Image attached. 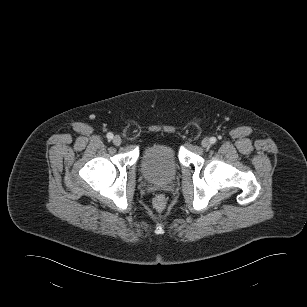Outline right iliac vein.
Instances as JSON below:
<instances>
[{
	"label": "right iliac vein",
	"instance_id": "obj_1",
	"mask_svg": "<svg viewBox=\"0 0 307 307\" xmlns=\"http://www.w3.org/2000/svg\"><path fill=\"white\" fill-rule=\"evenodd\" d=\"M113 143H114V145L119 146L122 143L121 137L120 136H115L113 138Z\"/></svg>",
	"mask_w": 307,
	"mask_h": 307
}]
</instances>
